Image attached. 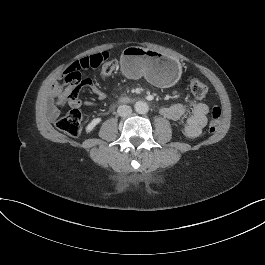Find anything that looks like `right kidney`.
<instances>
[{
	"mask_svg": "<svg viewBox=\"0 0 265 265\" xmlns=\"http://www.w3.org/2000/svg\"><path fill=\"white\" fill-rule=\"evenodd\" d=\"M101 122V118H95L93 119L85 128L86 132L89 133L91 132L95 126Z\"/></svg>",
	"mask_w": 265,
	"mask_h": 265,
	"instance_id": "right-kidney-1",
	"label": "right kidney"
}]
</instances>
